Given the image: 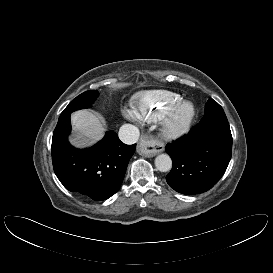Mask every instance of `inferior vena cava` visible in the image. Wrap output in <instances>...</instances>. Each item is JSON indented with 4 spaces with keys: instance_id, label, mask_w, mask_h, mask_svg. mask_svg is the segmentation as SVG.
Wrapping results in <instances>:
<instances>
[{
    "instance_id": "obj_1",
    "label": "inferior vena cava",
    "mask_w": 273,
    "mask_h": 273,
    "mask_svg": "<svg viewBox=\"0 0 273 273\" xmlns=\"http://www.w3.org/2000/svg\"><path fill=\"white\" fill-rule=\"evenodd\" d=\"M139 129L131 124H124L119 129V138L125 144H134L139 139Z\"/></svg>"
}]
</instances>
